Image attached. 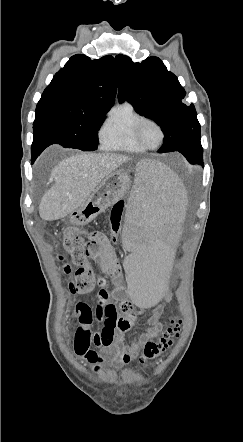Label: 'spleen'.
<instances>
[{
    "mask_svg": "<svg viewBox=\"0 0 243 442\" xmlns=\"http://www.w3.org/2000/svg\"><path fill=\"white\" fill-rule=\"evenodd\" d=\"M129 205L122 237L128 254L123 259L127 274L126 296L133 307H157L166 296L175 248L182 242L181 226H188L186 193L176 172L167 163L143 161L133 171Z\"/></svg>",
    "mask_w": 243,
    "mask_h": 442,
    "instance_id": "spleen-1",
    "label": "spleen"
}]
</instances>
